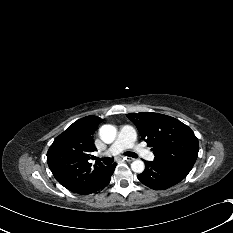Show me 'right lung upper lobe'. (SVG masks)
<instances>
[{
	"label": "right lung upper lobe",
	"mask_w": 233,
	"mask_h": 233,
	"mask_svg": "<svg viewBox=\"0 0 233 233\" xmlns=\"http://www.w3.org/2000/svg\"><path fill=\"white\" fill-rule=\"evenodd\" d=\"M102 119L86 116L74 122L52 143L47 162L56 180L68 190L87 194L108 166L89 163L96 151L93 134Z\"/></svg>",
	"instance_id": "1"
}]
</instances>
